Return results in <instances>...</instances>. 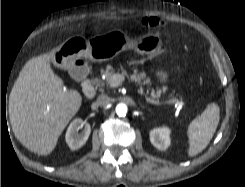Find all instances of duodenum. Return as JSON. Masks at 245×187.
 <instances>
[{
    "mask_svg": "<svg viewBox=\"0 0 245 187\" xmlns=\"http://www.w3.org/2000/svg\"><path fill=\"white\" fill-rule=\"evenodd\" d=\"M79 70L83 74H86V70H87L86 65L84 63L80 64ZM84 89H85V94H86L87 98H92L94 96V86H93L92 82L89 81L88 79L85 82Z\"/></svg>",
    "mask_w": 245,
    "mask_h": 187,
    "instance_id": "410a0bca",
    "label": "duodenum"
}]
</instances>
